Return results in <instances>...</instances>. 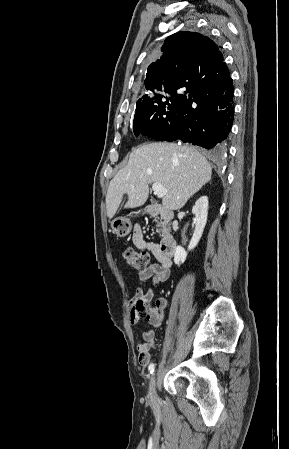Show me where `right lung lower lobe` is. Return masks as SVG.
<instances>
[{
  "label": "right lung lower lobe",
  "mask_w": 289,
  "mask_h": 449,
  "mask_svg": "<svg viewBox=\"0 0 289 449\" xmlns=\"http://www.w3.org/2000/svg\"><path fill=\"white\" fill-rule=\"evenodd\" d=\"M179 88H184L186 94L179 95L173 122L153 138L180 139L220 153L225 149L234 117V87L227 65L205 81L186 82Z\"/></svg>",
  "instance_id": "1"
}]
</instances>
